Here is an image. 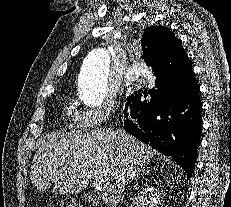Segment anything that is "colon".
<instances>
[{
    "label": "colon",
    "instance_id": "colon-1",
    "mask_svg": "<svg viewBox=\"0 0 231 207\" xmlns=\"http://www.w3.org/2000/svg\"><path fill=\"white\" fill-rule=\"evenodd\" d=\"M61 207H78V205L72 200H65Z\"/></svg>",
    "mask_w": 231,
    "mask_h": 207
}]
</instances>
